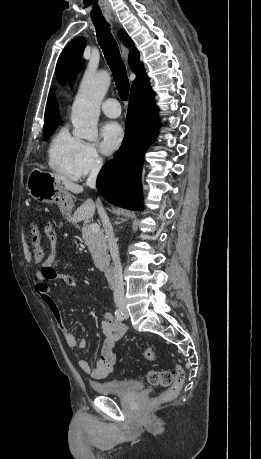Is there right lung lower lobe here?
<instances>
[{
	"label": "right lung lower lobe",
	"mask_w": 261,
	"mask_h": 459,
	"mask_svg": "<svg viewBox=\"0 0 261 459\" xmlns=\"http://www.w3.org/2000/svg\"><path fill=\"white\" fill-rule=\"evenodd\" d=\"M154 96L151 88L130 95L122 145L97 177V189L105 199L133 211L143 209L140 179L143 157L160 124Z\"/></svg>",
	"instance_id": "right-lung-lower-lobe-1"
}]
</instances>
